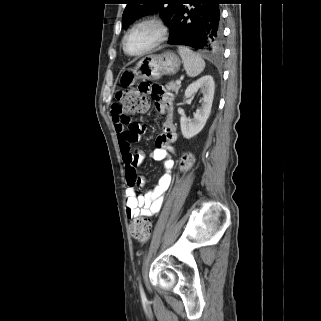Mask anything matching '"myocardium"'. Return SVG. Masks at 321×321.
<instances>
[{
    "label": "myocardium",
    "mask_w": 321,
    "mask_h": 321,
    "mask_svg": "<svg viewBox=\"0 0 321 321\" xmlns=\"http://www.w3.org/2000/svg\"><path fill=\"white\" fill-rule=\"evenodd\" d=\"M152 26L155 31H156V38L155 40L145 49H143L140 52L137 53H130L127 50V46H126V41L128 36L130 35L131 32H133L135 29L141 27V26ZM169 35V30H168V26L166 25V23L155 16H149L146 18H143L139 21H137L136 23H134L124 34L123 39H122V47H123V51L131 57H140L143 56L151 51H153L154 49H156L158 46H160L162 43H164Z\"/></svg>",
    "instance_id": "f54148a6"
}]
</instances>
